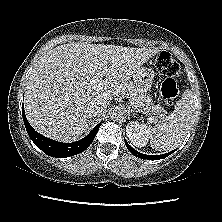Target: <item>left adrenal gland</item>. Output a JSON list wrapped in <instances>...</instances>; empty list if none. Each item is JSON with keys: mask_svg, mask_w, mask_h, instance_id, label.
Wrapping results in <instances>:
<instances>
[{"mask_svg": "<svg viewBox=\"0 0 222 222\" xmlns=\"http://www.w3.org/2000/svg\"><path fill=\"white\" fill-rule=\"evenodd\" d=\"M127 112H128V115H129V116H130V113H133V114L138 113L137 111H135L134 109H132L130 106H127Z\"/></svg>", "mask_w": 222, "mask_h": 222, "instance_id": "1", "label": "left adrenal gland"}]
</instances>
